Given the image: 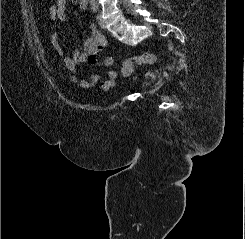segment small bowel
Here are the masks:
<instances>
[{
    "label": "small bowel",
    "mask_w": 245,
    "mask_h": 239,
    "mask_svg": "<svg viewBox=\"0 0 245 239\" xmlns=\"http://www.w3.org/2000/svg\"><path fill=\"white\" fill-rule=\"evenodd\" d=\"M67 0H55L50 7V17L55 22H62L66 17ZM79 8L85 11L87 8V0H79ZM55 49L60 52L61 49L57 42V35L54 36ZM107 40L101 34L96 25L91 24L89 35L84 40L82 47L75 51L71 56L64 59V67L69 73L72 82L76 83L82 89H91L99 87L104 91L112 89L118 81L119 73L116 70H110L103 81L99 82V77L93 74L89 79L80 77L77 65L83 62H88L94 67H110L117 64L114 57L107 56L102 59L98 58V54L106 47Z\"/></svg>",
    "instance_id": "small-bowel-1"
}]
</instances>
